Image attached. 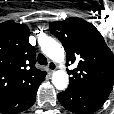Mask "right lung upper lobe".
Returning a JSON list of instances; mask_svg holds the SVG:
<instances>
[{"label": "right lung upper lobe", "mask_w": 114, "mask_h": 114, "mask_svg": "<svg viewBox=\"0 0 114 114\" xmlns=\"http://www.w3.org/2000/svg\"><path fill=\"white\" fill-rule=\"evenodd\" d=\"M29 35L24 24H0V101L45 79L46 72L35 68L36 50Z\"/></svg>", "instance_id": "right-lung-upper-lobe-1"}]
</instances>
